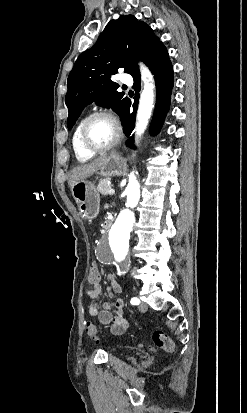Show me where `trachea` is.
Instances as JSON below:
<instances>
[{"instance_id": "3493384b", "label": "trachea", "mask_w": 247, "mask_h": 413, "mask_svg": "<svg viewBox=\"0 0 247 413\" xmlns=\"http://www.w3.org/2000/svg\"><path fill=\"white\" fill-rule=\"evenodd\" d=\"M122 88H123V90H126V89H127V86H126V85H123Z\"/></svg>"}]
</instances>
